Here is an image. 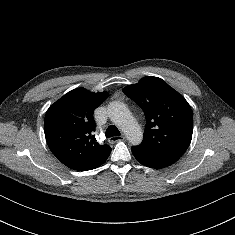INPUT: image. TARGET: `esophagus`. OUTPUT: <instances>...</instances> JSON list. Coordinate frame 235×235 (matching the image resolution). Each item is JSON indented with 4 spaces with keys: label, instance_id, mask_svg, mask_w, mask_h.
Here are the masks:
<instances>
[{
    "label": "esophagus",
    "instance_id": "obj_1",
    "mask_svg": "<svg viewBox=\"0 0 235 235\" xmlns=\"http://www.w3.org/2000/svg\"><path fill=\"white\" fill-rule=\"evenodd\" d=\"M124 138L125 137L123 135H121V136H113V137L109 138V142L110 143H116L118 141L124 140Z\"/></svg>",
    "mask_w": 235,
    "mask_h": 235
}]
</instances>
